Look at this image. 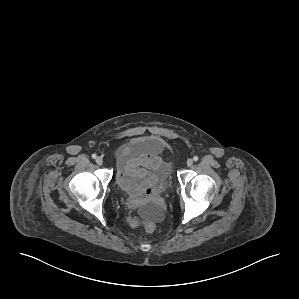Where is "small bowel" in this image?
<instances>
[{"mask_svg": "<svg viewBox=\"0 0 299 299\" xmlns=\"http://www.w3.org/2000/svg\"><path fill=\"white\" fill-rule=\"evenodd\" d=\"M130 146L127 144L118 152L116 182L133 198L156 194L160 186L150 171L160 166L162 159L152 154L134 156Z\"/></svg>", "mask_w": 299, "mask_h": 299, "instance_id": "1", "label": "small bowel"}]
</instances>
